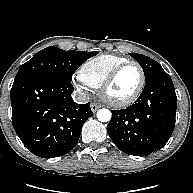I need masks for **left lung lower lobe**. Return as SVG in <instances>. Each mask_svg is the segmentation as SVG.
<instances>
[{
  "label": "left lung lower lobe",
  "mask_w": 193,
  "mask_h": 193,
  "mask_svg": "<svg viewBox=\"0 0 193 193\" xmlns=\"http://www.w3.org/2000/svg\"><path fill=\"white\" fill-rule=\"evenodd\" d=\"M177 97L170 76L160 70L146 81L134 104L112 110L107 132L124 153L147 156L161 149L175 126Z\"/></svg>",
  "instance_id": "obj_1"
}]
</instances>
